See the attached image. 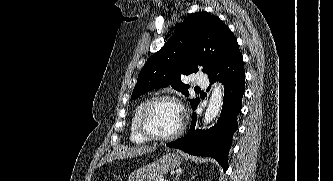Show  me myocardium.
I'll return each mask as SVG.
<instances>
[{"instance_id":"obj_1","label":"myocardium","mask_w":333,"mask_h":181,"mask_svg":"<svg viewBox=\"0 0 333 181\" xmlns=\"http://www.w3.org/2000/svg\"><path fill=\"white\" fill-rule=\"evenodd\" d=\"M160 101H170L174 104H176L182 113V120H181V124L179 126V128L167 135H156L154 133H152L146 126L145 123V117L148 113V111L150 110V108L157 102ZM137 129L139 131V133L145 137L147 140H151V141H170L173 140L177 137H179L184 129H185V121H184V107L182 105V103L179 101L178 98H176L175 96L172 95H157L154 96L150 99H148L147 101H145L138 113L137 116Z\"/></svg>"}]
</instances>
